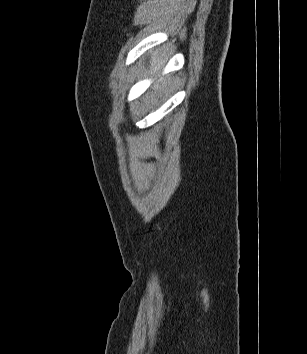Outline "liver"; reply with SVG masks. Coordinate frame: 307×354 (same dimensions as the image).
<instances>
[{
	"instance_id": "1",
	"label": "liver",
	"mask_w": 307,
	"mask_h": 354,
	"mask_svg": "<svg viewBox=\"0 0 307 354\" xmlns=\"http://www.w3.org/2000/svg\"><path fill=\"white\" fill-rule=\"evenodd\" d=\"M166 62V59L163 56H160L159 58L157 57H152L151 58V67H150V72L151 74L155 73L158 69H160ZM166 83L165 78H160L158 79L153 85L152 88L154 90H159L161 87H163Z\"/></svg>"
}]
</instances>
